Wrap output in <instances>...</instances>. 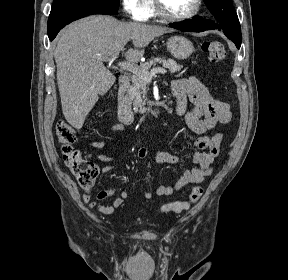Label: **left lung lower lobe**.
<instances>
[{
  "label": "left lung lower lobe",
  "instance_id": "1",
  "mask_svg": "<svg viewBox=\"0 0 288 280\" xmlns=\"http://www.w3.org/2000/svg\"><path fill=\"white\" fill-rule=\"evenodd\" d=\"M169 25L182 31H192V32H202L205 30H213L216 28L215 26H213L212 23H210L209 21H205L203 18L199 16H196L188 21L171 23ZM234 43L236 44V47L239 49L241 43L239 42Z\"/></svg>",
  "mask_w": 288,
  "mask_h": 280
}]
</instances>
